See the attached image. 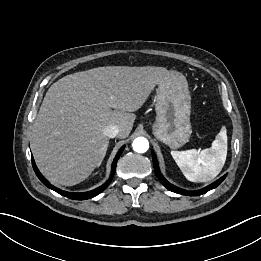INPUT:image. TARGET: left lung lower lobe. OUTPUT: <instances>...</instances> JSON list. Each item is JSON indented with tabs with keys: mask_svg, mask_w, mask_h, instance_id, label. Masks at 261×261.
Instances as JSON below:
<instances>
[{
	"mask_svg": "<svg viewBox=\"0 0 261 261\" xmlns=\"http://www.w3.org/2000/svg\"><path fill=\"white\" fill-rule=\"evenodd\" d=\"M152 158H153V164H154V170H155V174L157 175L158 179L160 180V182L170 191H173L175 193L178 194H182V195H189V196H198L201 194H204L206 192H208L209 190H212L214 188H216L219 184L222 183V181L226 178L227 174H225L224 176H222L220 179H218L217 181H215L214 183L208 185L207 187L197 190V191H186L183 189H180L172 184H170L161 174L160 170H159V166H158V162L156 159L155 154L152 152Z\"/></svg>",
	"mask_w": 261,
	"mask_h": 261,
	"instance_id": "1",
	"label": "left lung lower lobe"
}]
</instances>
